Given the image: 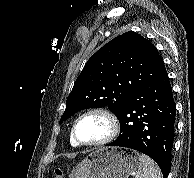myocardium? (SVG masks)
<instances>
[{"label": "myocardium", "mask_w": 194, "mask_h": 178, "mask_svg": "<svg viewBox=\"0 0 194 178\" xmlns=\"http://www.w3.org/2000/svg\"><path fill=\"white\" fill-rule=\"evenodd\" d=\"M89 115H100L102 116L108 123L109 130L105 137L95 142H83L77 137V125L78 123ZM120 131V124L116 115L108 109L101 107L90 108L83 113H81L74 121L71 129V138L78 146L84 147H101L105 146L118 136Z\"/></svg>", "instance_id": "f54148a6"}]
</instances>
